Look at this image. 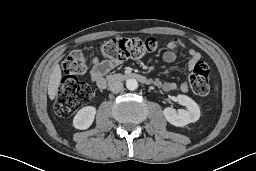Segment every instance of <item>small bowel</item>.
I'll list each match as a JSON object with an SVG mask.
<instances>
[{"label": "small bowel", "instance_id": "1", "mask_svg": "<svg viewBox=\"0 0 256 171\" xmlns=\"http://www.w3.org/2000/svg\"><path fill=\"white\" fill-rule=\"evenodd\" d=\"M168 50L165 51L162 55V60L165 63H172L176 60L177 54L176 51L180 48H184L185 45L179 38L172 39L168 45ZM189 62L188 68L189 70L193 69L196 63H198L201 59V54L195 49H189ZM121 61L118 60H100L98 57H93L91 60V80L92 82L99 88H104L106 86V75L112 69L117 67ZM154 84L161 88L164 91H173L176 88V84L169 81H161V80H154ZM181 90L185 91L187 89V83L183 82L180 85Z\"/></svg>", "mask_w": 256, "mask_h": 171}]
</instances>
